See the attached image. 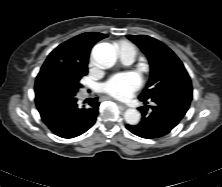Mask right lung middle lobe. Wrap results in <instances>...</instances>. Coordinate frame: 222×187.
Returning a JSON list of instances; mask_svg holds the SVG:
<instances>
[{
  "instance_id": "dd1d6c3e",
  "label": "right lung middle lobe",
  "mask_w": 222,
  "mask_h": 187,
  "mask_svg": "<svg viewBox=\"0 0 222 187\" xmlns=\"http://www.w3.org/2000/svg\"><path fill=\"white\" fill-rule=\"evenodd\" d=\"M58 67L68 77L75 89H79L81 87L80 79L88 73L87 65H77L71 62L64 63L61 61L59 62ZM43 69L44 67L42 66L41 70Z\"/></svg>"
}]
</instances>
